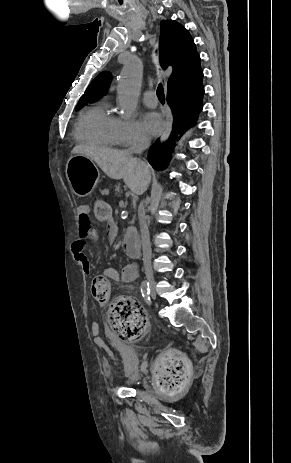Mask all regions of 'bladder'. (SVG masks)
Listing matches in <instances>:
<instances>
[{
	"mask_svg": "<svg viewBox=\"0 0 291 463\" xmlns=\"http://www.w3.org/2000/svg\"><path fill=\"white\" fill-rule=\"evenodd\" d=\"M116 351L122 356L125 362V370L123 372V379L128 384H137L139 378L135 374V368L140 363L137 349L130 343H117Z\"/></svg>",
	"mask_w": 291,
	"mask_h": 463,
	"instance_id": "obj_1",
	"label": "bladder"
}]
</instances>
